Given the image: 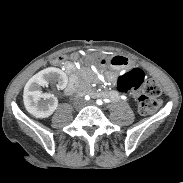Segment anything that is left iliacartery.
I'll return each mask as SVG.
<instances>
[{"instance_id": "1", "label": "left iliac artery", "mask_w": 183, "mask_h": 183, "mask_svg": "<svg viewBox=\"0 0 183 183\" xmlns=\"http://www.w3.org/2000/svg\"><path fill=\"white\" fill-rule=\"evenodd\" d=\"M96 103H97L98 105H102V104H103L102 100H100V99H98V100L96 101Z\"/></svg>"}]
</instances>
